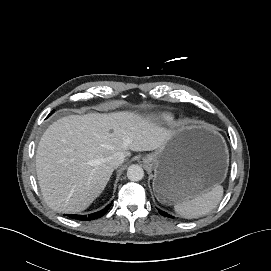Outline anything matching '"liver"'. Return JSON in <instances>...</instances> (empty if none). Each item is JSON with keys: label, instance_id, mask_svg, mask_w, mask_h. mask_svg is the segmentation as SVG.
<instances>
[{"label": "liver", "instance_id": "1", "mask_svg": "<svg viewBox=\"0 0 271 271\" xmlns=\"http://www.w3.org/2000/svg\"><path fill=\"white\" fill-rule=\"evenodd\" d=\"M171 132L138 114L71 115L42 135L36 152L39 186L47 205L60 213L88 208L105 189L115 153L161 148Z\"/></svg>", "mask_w": 271, "mask_h": 271}]
</instances>
